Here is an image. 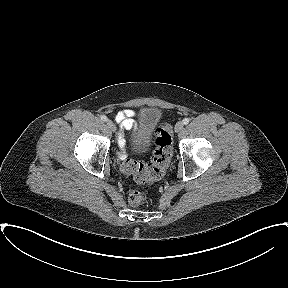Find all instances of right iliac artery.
Segmentation results:
<instances>
[{"label": "right iliac artery", "instance_id": "82829eb1", "mask_svg": "<svg viewBox=\"0 0 288 288\" xmlns=\"http://www.w3.org/2000/svg\"><path fill=\"white\" fill-rule=\"evenodd\" d=\"M100 118H101L102 121H107V117L105 115H101Z\"/></svg>", "mask_w": 288, "mask_h": 288}]
</instances>
